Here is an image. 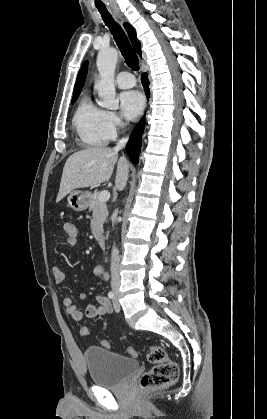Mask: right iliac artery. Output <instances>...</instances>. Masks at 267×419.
Wrapping results in <instances>:
<instances>
[{
    "label": "right iliac artery",
    "instance_id": "obj_1",
    "mask_svg": "<svg viewBox=\"0 0 267 419\" xmlns=\"http://www.w3.org/2000/svg\"><path fill=\"white\" fill-rule=\"evenodd\" d=\"M108 297H109L110 299H113V298H114V292L110 291V292L108 293Z\"/></svg>",
    "mask_w": 267,
    "mask_h": 419
}]
</instances>
